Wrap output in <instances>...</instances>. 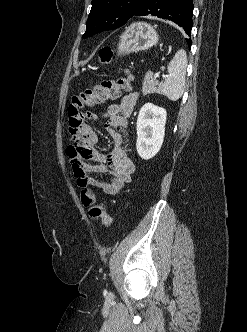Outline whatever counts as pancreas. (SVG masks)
<instances>
[{
    "mask_svg": "<svg viewBox=\"0 0 247 332\" xmlns=\"http://www.w3.org/2000/svg\"><path fill=\"white\" fill-rule=\"evenodd\" d=\"M157 91V82L153 78V73L149 71L143 81L142 93L143 95L155 93Z\"/></svg>",
    "mask_w": 247,
    "mask_h": 332,
    "instance_id": "obj_1",
    "label": "pancreas"
}]
</instances>
